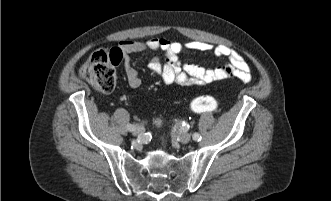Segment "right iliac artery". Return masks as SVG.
I'll return each instance as SVG.
<instances>
[{"instance_id": "obj_1", "label": "right iliac artery", "mask_w": 331, "mask_h": 201, "mask_svg": "<svg viewBox=\"0 0 331 201\" xmlns=\"http://www.w3.org/2000/svg\"><path fill=\"white\" fill-rule=\"evenodd\" d=\"M126 128L128 131H133L135 129V125L127 124Z\"/></svg>"}]
</instances>
